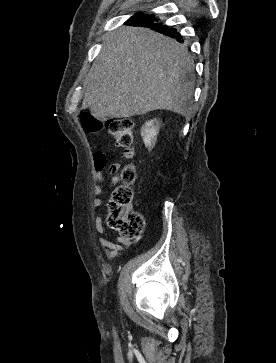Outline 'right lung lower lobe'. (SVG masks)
<instances>
[{"label":"right lung lower lobe","instance_id":"obj_1","mask_svg":"<svg viewBox=\"0 0 276 363\" xmlns=\"http://www.w3.org/2000/svg\"><path fill=\"white\" fill-rule=\"evenodd\" d=\"M155 20H158L155 15L139 14L130 18L126 23L133 26L150 27L155 31H158L166 36L175 38L179 42H182L181 35L176 29H174L173 27L162 25V23H156Z\"/></svg>","mask_w":276,"mask_h":363}]
</instances>
